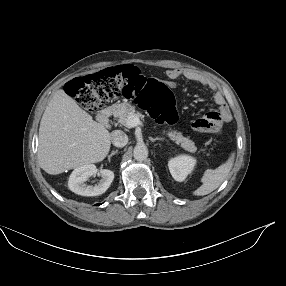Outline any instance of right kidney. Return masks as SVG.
<instances>
[{"mask_svg": "<svg viewBox=\"0 0 286 286\" xmlns=\"http://www.w3.org/2000/svg\"><path fill=\"white\" fill-rule=\"evenodd\" d=\"M98 174L101 180L98 184L86 185L85 182L93 175ZM114 173L111 170H98L95 165L88 164L76 168L69 177V189L82 196H97L103 194L111 185Z\"/></svg>", "mask_w": 286, "mask_h": 286, "instance_id": "obj_1", "label": "right kidney"}]
</instances>
